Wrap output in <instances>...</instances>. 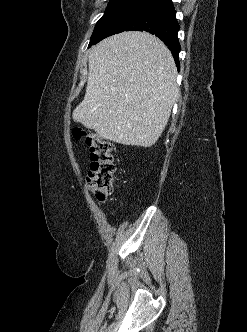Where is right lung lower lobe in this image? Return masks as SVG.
<instances>
[{
    "mask_svg": "<svg viewBox=\"0 0 247 332\" xmlns=\"http://www.w3.org/2000/svg\"><path fill=\"white\" fill-rule=\"evenodd\" d=\"M179 28L171 0H150L107 27L99 37V41L124 31L149 32L159 37L168 46L179 70L181 48L177 38Z\"/></svg>",
    "mask_w": 247,
    "mask_h": 332,
    "instance_id": "1",
    "label": "right lung lower lobe"
}]
</instances>
